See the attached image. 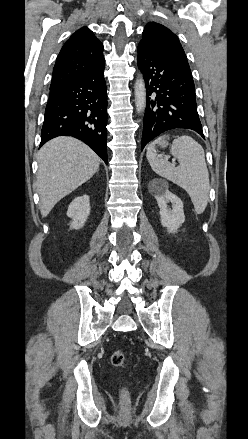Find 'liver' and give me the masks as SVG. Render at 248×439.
<instances>
[{
	"mask_svg": "<svg viewBox=\"0 0 248 439\" xmlns=\"http://www.w3.org/2000/svg\"><path fill=\"white\" fill-rule=\"evenodd\" d=\"M37 161V191L42 217L89 180L99 170L101 162L90 147L73 137L50 140L40 149Z\"/></svg>",
	"mask_w": 248,
	"mask_h": 439,
	"instance_id": "obj_1",
	"label": "liver"
}]
</instances>
